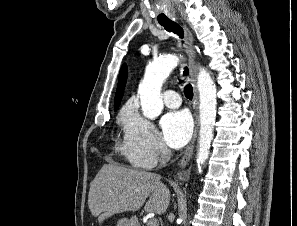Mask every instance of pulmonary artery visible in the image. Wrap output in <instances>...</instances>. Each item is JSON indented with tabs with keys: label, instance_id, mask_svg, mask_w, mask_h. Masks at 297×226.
Here are the masks:
<instances>
[{
	"label": "pulmonary artery",
	"instance_id": "obj_1",
	"mask_svg": "<svg viewBox=\"0 0 297 226\" xmlns=\"http://www.w3.org/2000/svg\"><path fill=\"white\" fill-rule=\"evenodd\" d=\"M163 100L167 107L178 108L181 105L179 94L174 90H167L163 94Z\"/></svg>",
	"mask_w": 297,
	"mask_h": 226
}]
</instances>
